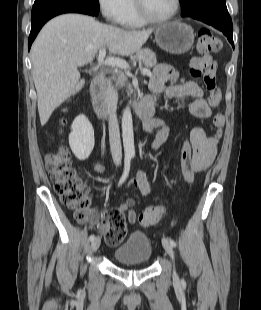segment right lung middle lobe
Returning a JSON list of instances; mask_svg holds the SVG:
<instances>
[{
  "label": "right lung middle lobe",
  "mask_w": 261,
  "mask_h": 310,
  "mask_svg": "<svg viewBox=\"0 0 261 310\" xmlns=\"http://www.w3.org/2000/svg\"><path fill=\"white\" fill-rule=\"evenodd\" d=\"M56 3H70V4H79L94 8L99 11V2L98 0H35L32 12L39 10L40 8L56 4Z\"/></svg>",
  "instance_id": "right-lung-middle-lobe-1"
}]
</instances>
